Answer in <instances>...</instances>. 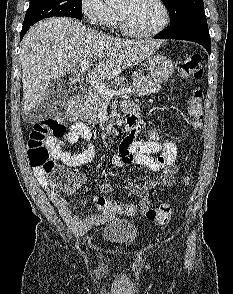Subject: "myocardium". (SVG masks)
I'll list each match as a JSON object with an SVG mask.
<instances>
[{"mask_svg":"<svg viewBox=\"0 0 233 294\" xmlns=\"http://www.w3.org/2000/svg\"><path fill=\"white\" fill-rule=\"evenodd\" d=\"M154 1L161 8L162 13H163V19H162L161 24L151 31H138V30L133 29L130 26L126 15L122 11L119 10L120 25H121L122 30L126 34L133 36V37H138V38H147V37H152V36L158 35L168 26V24L170 22V12H169L167 5L164 3L163 0H154Z\"/></svg>","mask_w":233,"mask_h":294,"instance_id":"f54148a6","label":"myocardium"}]
</instances>
